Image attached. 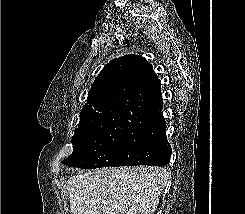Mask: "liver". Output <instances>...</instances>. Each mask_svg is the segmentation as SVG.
Listing matches in <instances>:
<instances>
[{"label":"liver","instance_id":"6515ba94","mask_svg":"<svg viewBox=\"0 0 245 214\" xmlns=\"http://www.w3.org/2000/svg\"><path fill=\"white\" fill-rule=\"evenodd\" d=\"M168 182L159 167L88 170L67 182L72 214H154Z\"/></svg>","mask_w":245,"mask_h":214}]
</instances>
